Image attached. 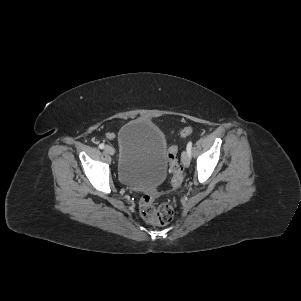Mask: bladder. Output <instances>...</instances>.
Here are the masks:
<instances>
[{
	"instance_id": "31cf9c89",
	"label": "bladder",
	"mask_w": 301,
	"mask_h": 301,
	"mask_svg": "<svg viewBox=\"0 0 301 301\" xmlns=\"http://www.w3.org/2000/svg\"><path fill=\"white\" fill-rule=\"evenodd\" d=\"M117 174L124 185L152 188L166 176L167 140L161 129L145 119L133 120L118 133Z\"/></svg>"
}]
</instances>
